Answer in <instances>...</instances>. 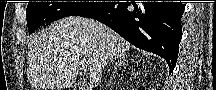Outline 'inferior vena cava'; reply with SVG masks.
I'll use <instances>...</instances> for the list:
<instances>
[{"label":"inferior vena cava","instance_id":"inferior-vena-cava-1","mask_svg":"<svg viewBox=\"0 0 216 90\" xmlns=\"http://www.w3.org/2000/svg\"><path fill=\"white\" fill-rule=\"evenodd\" d=\"M105 68H106V62H104V64H102V66H101V68H100V70H101V72H100L101 76H102V74H103ZM100 84H101V78H100L99 86H100Z\"/></svg>","mask_w":216,"mask_h":90}]
</instances>
